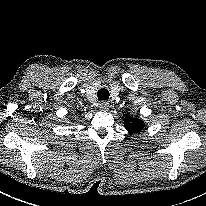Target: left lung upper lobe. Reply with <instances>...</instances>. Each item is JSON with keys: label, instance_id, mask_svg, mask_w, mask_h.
<instances>
[{"label": "left lung upper lobe", "instance_id": "1", "mask_svg": "<svg viewBox=\"0 0 206 206\" xmlns=\"http://www.w3.org/2000/svg\"><path fill=\"white\" fill-rule=\"evenodd\" d=\"M124 124L126 129L130 133H138L143 129V122L139 119L131 118L129 116L125 117Z\"/></svg>", "mask_w": 206, "mask_h": 206}]
</instances>
